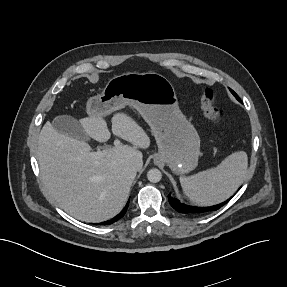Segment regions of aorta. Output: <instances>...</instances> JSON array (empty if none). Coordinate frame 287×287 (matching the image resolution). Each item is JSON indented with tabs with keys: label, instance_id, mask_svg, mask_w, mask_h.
I'll use <instances>...</instances> for the list:
<instances>
[{
	"label": "aorta",
	"instance_id": "obj_1",
	"mask_svg": "<svg viewBox=\"0 0 287 287\" xmlns=\"http://www.w3.org/2000/svg\"><path fill=\"white\" fill-rule=\"evenodd\" d=\"M147 178L150 182L157 183L162 178V173L159 169L153 168L147 172Z\"/></svg>",
	"mask_w": 287,
	"mask_h": 287
}]
</instances>
